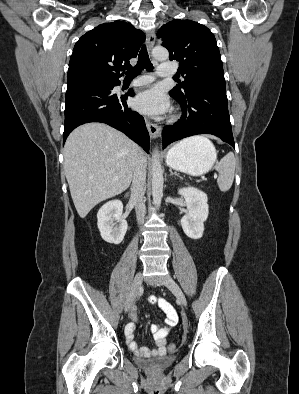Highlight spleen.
<instances>
[{
  "mask_svg": "<svg viewBox=\"0 0 299 394\" xmlns=\"http://www.w3.org/2000/svg\"><path fill=\"white\" fill-rule=\"evenodd\" d=\"M196 138L199 142H203L205 144H212L209 139L205 137H192ZM191 139V138H189ZM182 142V141H181ZM236 159L232 152L227 153L215 166L216 171L219 173V177L217 179V184L222 192L228 191L234 180Z\"/></svg>",
  "mask_w": 299,
  "mask_h": 394,
  "instance_id": "1",
  "label": "spleen"
}]
</instances>
